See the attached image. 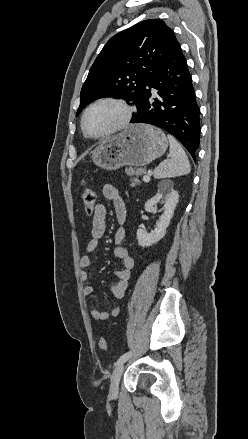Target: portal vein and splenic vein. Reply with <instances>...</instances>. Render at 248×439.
<instances>
[{
	"label": "portal vein and splenic vein",
	"mask_w": 248,
	"mask_h": 439,
	"mask_svg": "<svg viewBox=\"0 0 248 439\" xmlns=\"http://www.w3.org/2000/svg\"><path fill=\"white\" fill-rule=\"evenodd\" d=\"M151 173H152V172L149 171L148 174H147L146 176L143 177V181H145V182H149V181H150V175H151Z\"/></svg>",
	"instance_id": "portal-vein-and-splenic-vein-1"
}]
</instances>
